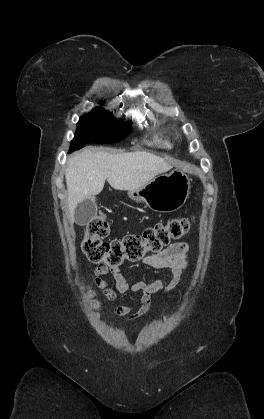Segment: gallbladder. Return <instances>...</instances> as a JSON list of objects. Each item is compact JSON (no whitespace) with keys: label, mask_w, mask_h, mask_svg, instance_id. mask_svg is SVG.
I'll return each instance as SVG.
<instances>
[{"label":"gallbladder","mask_w":264,"mask_h":419,"mask_svg":"<svg viewBox=\"0 0 264 419\" xmlns=\"http://www.w3.org/2000/svg\"><path fill=\"white\" fill-rule=\"evenodd\" d=\"M97 213V204L94 197H89L80 202L74 211L75 222L84 226L88 224Z\"/></svg>","instance_id":"1"}]
</instances>
